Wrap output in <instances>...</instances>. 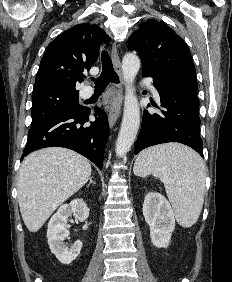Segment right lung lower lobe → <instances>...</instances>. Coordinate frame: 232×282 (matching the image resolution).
Returning a JSON list of instances; mask_svg holds the SVG:
<instances>
[{
	"instance_id": "1",
	"label": "right lung lower lobe",
	"mask_w": 232,
	"mask_h": 282,
	"mask_svg": "<svg viewBox=\"0 0 232 282\" xmlns=\"http://www.w3.org/2000/svg\"><path fill=\"white\" fill-rule=\"evenodd\" d=\"M91 111L83 107L75 112H62L35 126L28 132V141L24 148V156L44 147H65L72 149L89 160L99 169L103 166L105 145L109 135L107 115L101 108L94 110L96 121L88 127Z\"/></svg>"
}]
</instances>
